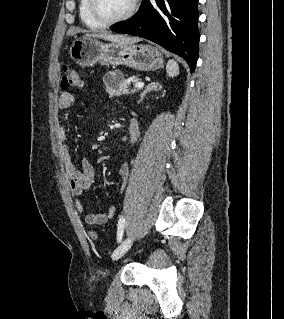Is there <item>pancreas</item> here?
I'll return each instance as SVG.
<instances>
[{
    "label": "pancreas",
    "mask_w": 284,
    "mask_h": 319,
    "mask_svg": "<svg viewBox=\"0 0 284 319\" xmlns=\"http://www.w3.org/2000/svg\"><path fill=\"white\" fill-rule=\"evenodd\" d=\"M138 79H135L136 82ZM106 92L111 95L120 96L122 94L134 93L136 89L129 90V83L123 74L117 70L107 73L103 77ZM138 90V89H137Z\"/></svg>",
    "instance_id": "1"
}]
</instances>
